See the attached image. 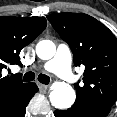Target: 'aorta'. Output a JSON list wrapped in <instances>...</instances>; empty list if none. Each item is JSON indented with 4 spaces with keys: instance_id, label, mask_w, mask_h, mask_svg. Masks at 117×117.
<instances>
[{
    "instance_id": "1",
    "label": "aorta",
    "mask_w": 117,
    "mask_h": 117,
    "mask_svg": "<svg viewBox=\"0 0 117 117\" xmlns=\"http://www.w3.org/2000/svg\"><path fill=\"white\" fill-rule=\"evenodd\" d=\"M56 52L55 44L50 40H42L36 45L37 56L42 60L51 59ZM51 104L57 109H68L75 102L74 89L65 82H55L49 95Z\"/></svg>"
}]
</instances>
